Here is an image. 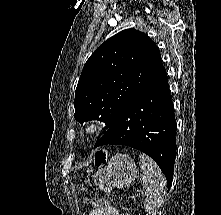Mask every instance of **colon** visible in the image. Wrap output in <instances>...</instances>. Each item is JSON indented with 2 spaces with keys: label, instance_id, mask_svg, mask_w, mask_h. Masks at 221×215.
<instances>
[{
  "label": "colon",
  "instance_id": "5ec220e1",
  "mask_svg": "<svg viewBox=\"0 0 221 215\" xmlns=\"http://www.w3.org/2000/svg\"><path fill=\"white\" fill-rule=\"evenodd\" d=\"M106 153L102 150H98L95 153V164L96 166H101L106 162ZM104 205V201L103 200H98L94 203V206L96 207H101Z\"/></svg>",
  "mask_w": 221,
  "mask_h": 215
}]
</instances>
